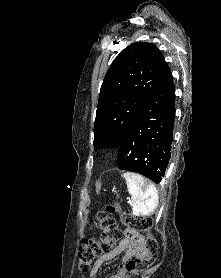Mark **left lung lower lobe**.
<instances>
[{
  "mask_svg": "<svg viewBox=\"0 0 221 278\" xmlns=\"http://www.w3.org/2000/svg\"><path fill=\"white\" fill-rule=\"evenodd\" d=\"M175 89L167 66L153 94L124 137L119 169L140 173L159 184L170 156L175 121Z\"/></svg>",
  "mask_w": 221,
  "mask_h": 278,
  "instance_id": "0a47b994",
  "label": "left lung lower lobe"
}]
</instances>
